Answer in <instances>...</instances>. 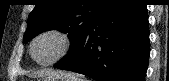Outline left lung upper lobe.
Instances as JSON below:
<instances>
[{
  "label": "left lung upper lobe",
  "instance_id": "obj_1",
  "mask_svg": "<svg viewBox=\"0 0 169 81\" xmlns=\"http://www.w3.org/2000/svg\"><path fill=\"white\" fill-rule=\"evenodd\" d=\"M111 0H38L28 18L24 42L48 30L68 33L71 47L60 61L70 58L89 25Z\"/></svg>",
  "mask_w": 169,
  "mask_h": 81
}]
</instances>
